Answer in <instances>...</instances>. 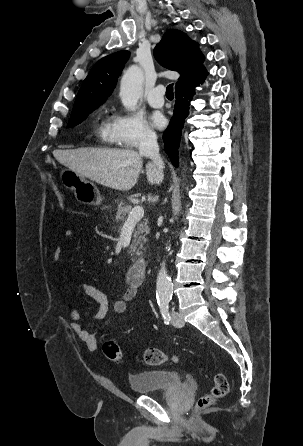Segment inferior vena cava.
I'll return each instance as SVG.
<instances>
[{"instance_id":"inferior-vena-cava-1","label":"inferior vena cava","mask_w":303,"mask_h":446,"mask_svg":"<svg viewBox=\"0 0 303 446\" xmlns=\"http://www.w3.org/2000/svg\"><path fill=\"white\" fill-rule=\"evenodd\" d=\"M139 153L149 157L160 173H162L164 163L159 154V146L157 144V137L154 133H147L142 138L139 145Z\"/></svg>"}]
</instances>
